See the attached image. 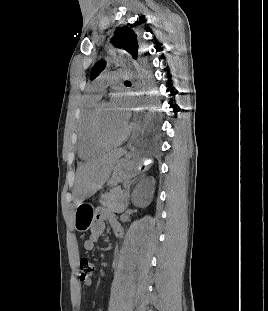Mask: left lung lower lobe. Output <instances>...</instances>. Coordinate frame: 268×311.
Returning <instances> with one entry per match:
<instances>
[{
    "label": "left lung lower lobe",
    "mask_w": 268,
    "mask_h": 311,
    "mask_svg": "<svg viewBox=\"0 0 268 311\" xmlns=\"http://www.w3.org/2000/svg\"><path fill=\"white\" fill-rule=\"evenodd\" d=\"M139 68L147 83L151 85L153 83V75L150 61L145 58H141ZM159 117L160 113L157 110H154V112L148 115L145 123V127L148 131L145 133L146 141H159V139L162 138L161 132H155L158 128Z\"/></svg>",
    "instance_id": "1"
}]
</instances>
